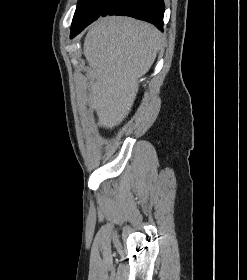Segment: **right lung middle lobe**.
I'll return each instance as SVG.
<instances>
[{"label": "right lung middle lobe", "mask_w": 247, "mask_h": 280, "mask_svg": "<svg viewBox=\"0 0 247 280\" xmlns=\"http://www.w3.org/2000/svg\"><path fill=\"white\" fill-rule=\"evenodd\" d=\"M108 2L109 0H79L71 27L85 24L96 18Z\"/></svg>", "instance_id": "right-lung-middle-lobe-1"}]
</instances>
